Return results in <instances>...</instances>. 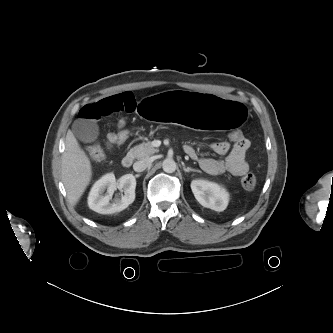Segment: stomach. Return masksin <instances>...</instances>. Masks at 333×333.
Listing matches in <instances>:
<instances>
[{
	"instance_id": "obj_1",
	"label": "stomach",
	"mask_w": 333,
	"mask_h": 333,
	"mask_svg": "<svg viewBox=\"0 0 333 333\" xmlns=\"http://www.w3.org/2000/svg\"><path fill=\"white\" fill-rule=\"evenodd\" d=\"M138 112L156 123L211 133L238 129L248 118V111L243 104L201 91L156 92L139 104Z\"/></svg>"
}]
</instances>
